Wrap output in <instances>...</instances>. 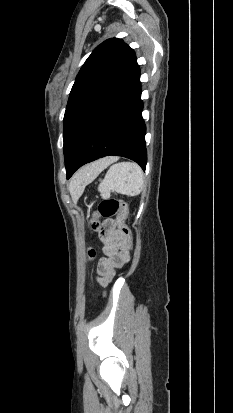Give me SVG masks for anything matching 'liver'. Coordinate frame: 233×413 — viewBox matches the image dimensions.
Here are the masks:
<instances>
[{
    "label": "liver",
    "mask_w": 233,
    "mask_h": 413,
    "mask_svg": "<svg viewBox=\"0 0 233 413\" xmlns=\"http://www.w3.org/2000/svg\"><path fill=\"white\" fill-rule=\"evenodd\" d=\"M111 161L112 158H105L83 167L70 186L71 194L74 195L84 181L91 179L94 174L104 169Z\"/></svg>",
    "instance_id": "6515ba94"
}]
</instances>
